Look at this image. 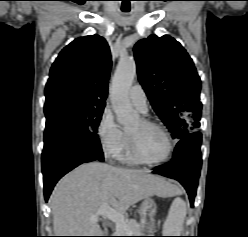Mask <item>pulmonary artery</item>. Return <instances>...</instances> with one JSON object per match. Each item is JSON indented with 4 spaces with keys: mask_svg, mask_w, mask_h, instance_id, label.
<instances>
[{
    "mask_svg": "<svg viewBox=\"0 0 248 237\" xmlns=\"http://www.w3.org/2000/svg\"><path fill=\"white\" fill-rule=\"evenodd\" d=\"M131 103L142 113L147 112V96L140 84H135L129 90Z\"/></svg>",
    "mask_w": 248,
    "mask_h": 237,
    "instance_id": "obj_1",
    "label": "pulmonary artery"
}]
</instances>
